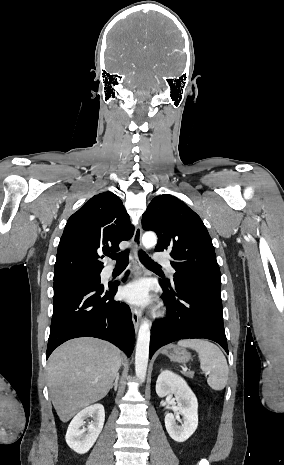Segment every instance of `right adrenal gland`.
Instances as JSON below:
<instances>
[{
    "mask_svg": "<svg viewBox=\"0 0 284 465\" xmlns=\"http://www.w3.org/2000/svg\"><path fill=\"white\" fill-rule=\"evenodd\" d=\"M119 379H120V373H117L115 383H113V385H112V387H110V389H113V387H114V391H117Z\"/></svg>",
    "mask_w": 284,
    "mask_h": 465,
    "instance_id": "1",
    "label": "right adrenal gland"
}]
</instances>
